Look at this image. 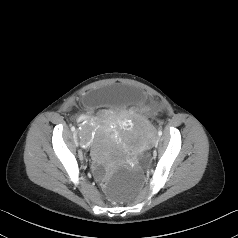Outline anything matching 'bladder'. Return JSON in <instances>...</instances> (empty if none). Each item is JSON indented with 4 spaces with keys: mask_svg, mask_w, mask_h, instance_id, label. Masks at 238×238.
Segmentation results:
<instances>
[{
    "mask_svg": "<svg viewBox=\"0 0 238 238\" xmlns=\"http://www.w3.org/2000/svg\"><path fill=\"white\" fill-rule=\"evenodd\" d=\"M85 102L90 107L101 105L103 108L121 112L139 105L142 102V93L133 86L112 85L104 90L88 93Z\"/></svg>",
    "mask_w": 238,
    "mask_h": 238,
    "instance_id": "bladder-1",
    "label": "bladder"
}]
</instances>
